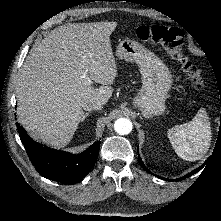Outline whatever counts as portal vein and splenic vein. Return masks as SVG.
Wrapping results in <instances>:
<instances>
[{
	"mask_svg": "<svg viewBox=\"0 0 221 221\" xmlns=\"http://www.w3.org/2000/svg\"><path fill=\"white\" fill-rule=\"evenodd\" d=\"M87 80H88V82H89V83H91V81H90L89 77H87Z\"/></svg>",
	"mask_w": 221,
	"mask_h": 221,
	"instance_id": "portal-vein-and-splenic-vein-1",
	"label": "portal vein and splenic vein"
}]
</instances>
